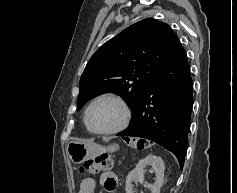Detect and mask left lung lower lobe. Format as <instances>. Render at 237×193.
I'll list each match as a JSON object with an SVG mask.
<instances>
[{
    "instance_id": "left-lung-lower-lobe-1",
    "label": "left lung lower lobe",
    "mask_w": 237,
    "mask_h": 193,
    "mask_svg": "<svg viewBox=\"0 0 237 193\" xmlns=\"http://www.w3.org/2000/svg\"><path fill=\"white\" fill-rule=\"evenodd\" d=\"M193 82L184 48L180 44L154 78L130 126L118 136L152 140L174 153L184 166L193 106Z\"/></svg>"
}]
</instances>
